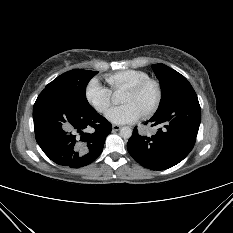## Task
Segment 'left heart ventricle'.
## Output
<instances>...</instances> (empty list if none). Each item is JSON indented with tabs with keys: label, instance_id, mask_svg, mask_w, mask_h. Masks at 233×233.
Masks as SVG:
<instances>
[{
	"label": "left heart ventricle",
	"instance_id": "obj_1",
	"mask_svg": "<svg viewBox=\"0 0 233 233\" xmlns=\"http://www.w3.org/2000/svg\"><path fill=\"white\" fill-rule=\"evenodd\" d=\"M155 97L156 90L154 86L150 85L141 93L126 91L122 97L121 102L124 104H135L142 111V113H144L153 103Z\"/></svg>",
	"mask_w": 233,
	"mask_h": 233
}]
</instances>
